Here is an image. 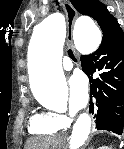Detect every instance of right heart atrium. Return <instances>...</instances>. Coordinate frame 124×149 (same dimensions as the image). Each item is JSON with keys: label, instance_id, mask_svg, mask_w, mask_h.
<instances>
[{"label": "right heart atrium", "instance_id": "right-heart-atrium-1", "mask_svg": "<svg viewBox=\"0 0 124 149\" xmlns=\"http://www.w3.org/2000/svg\"><path fill=\"white\" fill-rule=\"evenodd\" d=\"M55 116H56L57 120L59 121V123L61 125H63L64 127H66L70 122V119L65 115L55 114Z\"/></svg>", "mask_w": 124, "mask_h": 149}]
</instances>
